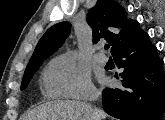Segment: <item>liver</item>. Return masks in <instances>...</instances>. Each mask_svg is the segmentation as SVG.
<instances>
[{
	"mask_svg": "<svg viewBox=\"0 0 165 120\" xmlns=\"http://www.w3.org/2000/svg\"><path fill=\"white\" fill-rule=\"evenodd\" d=\"M106 113L90 104L75 100H57L32 110L26 120H102Z\"/></svg>",
	"mask_w": 165,
	"mask_h": 120,
	"instance_id": "1",
	"label": "liver"
}]
</instances>
